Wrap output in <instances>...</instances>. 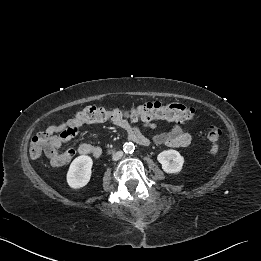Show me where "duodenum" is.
<instances>
[{"instance_id": "1", "label": "duodenum", "mask_w": 261, "mask_h": 261, "mask_svg": "<svg viewBox=\"0 0 261 261\" xmlns=\"http://www.w3.org/2000/svg\"><path fill=\"white\" fill-rule=\"evenodd\" d=\"M130 141H133L141 146H148L149 140L141 135V133H134L128 136Z\"/></svg>"}]
</instances>
